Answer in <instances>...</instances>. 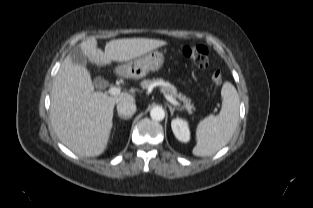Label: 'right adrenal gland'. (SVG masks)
Returning <instances> with one entry per match:
<instances>
[{
	"label": "right adrenal gland",
	"instance_id": "1",
	"mask_svg": "<svg viewBox=\"0 0 313 208\" xmlns=\"http://www.w3.org/2000/svg\"><path fill=\"white\" fill-rule=\"evenodd\" d=\"M118 117L123 119V120H129L131 118V116H123V115H120V114H118Z\"/></svg>",
	"mask_w": 313,
	"mask_h": 208
}]
</instances>
